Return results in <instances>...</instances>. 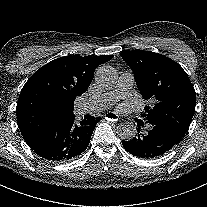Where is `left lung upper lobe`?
<instances>
[{
	"mask_svg": "<svg viewBox=\"0 0 207 207\" xmlns=\"http://www.w3.org/2000/svg\"><path fill=\"white\" fill-rule=\"evenodd\" d=\"M120 55L133 70L142 97L154 102L145 106L142 116L181 140L196 104V92L184 69L159 53L136 50Z\"/></svg>",
	"mask_w": 207,
	"mask_h": 207,
	"instance_id": "left-lung-upper-lobe-1",
	"label": "left lung upper lobe"
}]
</instances>
